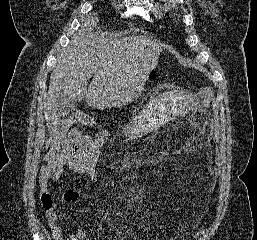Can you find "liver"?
I'll return each instance as SVG.
<instances>
[{
    "label": "liver",
    "instance_id": "obj_1",
    "mask_svg": "<svg viewBox=\"0 0 257 240\" xmlns=\"http://www.w3.org/2000/svg\"><path fill=\"white\" fill-rule=\"evenodd\" d=\"M98 23L94 13L88 14L58 55L45 99L47 110L54 109L61 93L74 102L85 97L96 109L128 104L140 94L141 82L157 64L161 46L144 36L112 39L98 34Z\"/></svg>",
    "mask_w": 257,
    "mask_h": 240
}]
</instances>
